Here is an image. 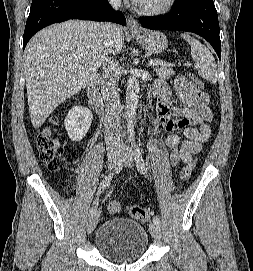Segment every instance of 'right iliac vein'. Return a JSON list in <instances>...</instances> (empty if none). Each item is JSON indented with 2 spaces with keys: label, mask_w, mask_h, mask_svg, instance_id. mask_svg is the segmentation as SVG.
Wrapping results in <instances>:
<instances>
[{
  "label": "right iliac vein",
  "mask_w": 253,
  "mask_h": 271,
  "mask_svg": "<svg viewBox=\"0 0 253 271\" xmlns=\"http://www.w3.org/2000/svg\"><path fill=\"white\" fill-rule=\"evenodd\" d=\"M121 153L119 151H109L108 153V169L112 170L116 167L120 160ZM99 220V211H95L89 218L87 223V232L92 233V231L97 226Z\"/></svg>",
  "instance_id": "right-iliac-vein-1"
}]
</instances>
